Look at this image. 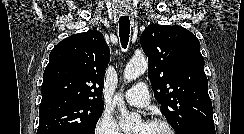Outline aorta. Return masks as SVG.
<instances>
[{
    "mask_svg": "<svg viewBox=\"0 0 244 134\" xmlns=\"http://www.w3.org/2000/svg\"><path fill=\"white\" fill-rule=\"evenodd\" d=\"M147 68L148 61L143 56L133 57L126 65L124 70V79L130 82L141 76ZM114 100L120 112V127L123 129L134 127V125L140 120V116L138 114L128 113L121 94L116 95Z\"/></svg>",
    "mask_w": 244,
    "mask_h": 134,
    "instance_id": "obj_1",
    "label": "aorta"
}]
</instances>
